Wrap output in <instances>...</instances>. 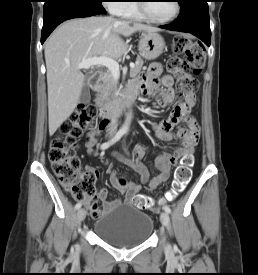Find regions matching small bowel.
<instances>
[{
  "mask_svg": "<svg viewBox=\"0 0 258 275\" xmlns=\"http://www.w3.org/2000/svg\"><path fill=\"white\" fill-rule=\"evenodd\" d=\"M163 67L160 63H153L147 69L146 73L141 77L133 80L128 85V89L140 90L143 94L149 95L158 90V102L162 106L170 105L173 101V78L170 75H163ZM160 85L162 88L160 89ZM195 104V96L191 95L186 98L184 102L178 104L172 110L170 116L161 122L153 124L154 135L161 141H170L175 137L173 128L183 122L184 128L178 130L176 136L181 140V147L177 148L173 152L163 151L155 161V166L159 171V174L149 181V172L145 166L139 163V160L145 156L146 148L137 145L134 149V158L132 160L119 158L124 164L135 170L139 176L141 183H148L151 189H155L161 184L168 181L172 167L178 162V160L184 157L186 154L191 153L196 146L199 139V127L193 117H191L190 111ZM108 124L104 122L99 124L95 129L90 130L86 134V148L90 156L95 155V147L98 143L99 134L107 128ZM88 170L96 173L95 169L88 167ZM111 181L114 185H117L116 174L114 172L110 175ZM120 186V185H119ZM121 192L125 196V202L130 203L133 198L141 191V184L135 182H126L124 187L120 186ZM107 189L100 187L96 193V199L105 201L107 198ZM97 200L88 198L83 201L84 206L88 209L90 214L97 218L101 217L104 213L113 210L119 203V200L105 201L104 207L101 210Z\"/></svg>",
  "mask_w": 258,
  "mask_h": 275,
  "instance_id": "obj_1",
  "label": "small bowel"
}]
</instances>
